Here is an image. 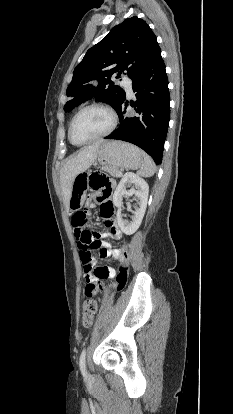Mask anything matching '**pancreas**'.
<instances>
[{"instance_id": "obj_1", "label": "pancreas", "mask_w": 233, "mask_h": 414, "mask_svg": "<svg viewBox=\"0 0 233 414\" xmlns=\"http://www.w3.org/2000/svg\"><path fill=\"white\" fill-rule=\"evenodd\" d=\"M107 172H109V174L114 176V177H121L122 176L120 170H107Z\"/></svg>"}]
</instances>
